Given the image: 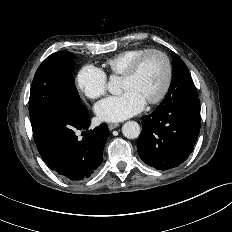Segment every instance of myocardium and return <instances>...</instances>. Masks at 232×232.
<instances>
[{"instance_id":"1","label":"myocardium","mask_w":232,"mask_h":232,"mask_svg":"<svg viewBox=\"0 0 232 232\" xmlns=\"http://www.w3.org/2000/svg\"><path fill=\"white\" fill-rule=\"evenodd\" d=\"M151 55H159L163 58L164 63H165V68H166V76H165V82L164 85L159 92L157 96H155L152 99H149L146 101L147 104L149 105H154L159 102H161L167 95L171 84H172V79H173V68H172V63L169 58V56L162 50L159 49H149L139 55L137 58H135L131 64L128 66V68L125 70V72L122 74V78H132L133 76L136 75L138 72L140 66L142 63L145 61L146 58H148Z\"/></svg>"}]
</instances>
